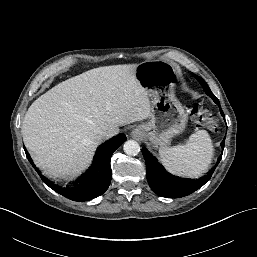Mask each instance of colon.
<instances>
[{"instance_id": "obj_1", "label": "colon", "mask_w": 257, "mask_h": 257, "mask_svg": "<svg viewBox=\"0 0 257 257\" xmlns=\"http://www.w3.org/2000/svg\"><path fill=\"white\" fill-rule=\"evenodd\" d=\"M192 120L199 126H205L211 130H217V124L210 112L199 105H195L191 111Z\"/></svg>"}]
</instances>
